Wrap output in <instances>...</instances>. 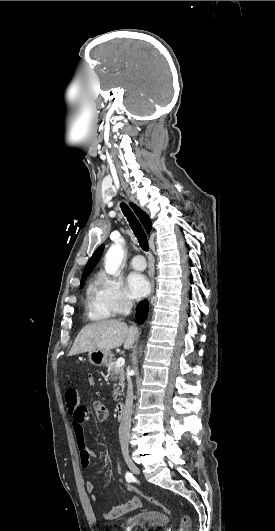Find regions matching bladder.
<instances>
[{
  "label": "bladder",
  "instance_id": "31cf9c89",
  "mask_svg": "<svg viewBox=\"0 0 275 531\" xmlns=\"http://www.w3.org/2000/svg\"><path fill=\"white\" fill-rule=\"evenodd\" d=\"M167 517L164 512L148 508L144 513L131 514L128 517L127 530L145 531V528L164 527Z\"/></svg>",
  "mask_w": 275,
  "mask_h": 531
}]
</instances>
